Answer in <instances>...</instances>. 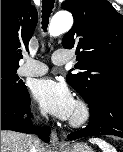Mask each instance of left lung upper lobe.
<instances>
[{
  "instance_id": "left-lung-upper-lobe-1",
  "label": "left lung upper lobe",
  "mask_w": 123,
  "mask_h": 152,
  "mask_svg": "<svg viewBox=\"0 0 123 152\" xmlns=\"http://www.w3.org/2000/svg\"><path fill=\"white\" fill-rule=\"evenodd\" d=\"M75 20L62 44L76 49L77 73L67 82L90 104L98 95L123 91V16L106 0H67Z\"/></svg>"
}]
</instances>
